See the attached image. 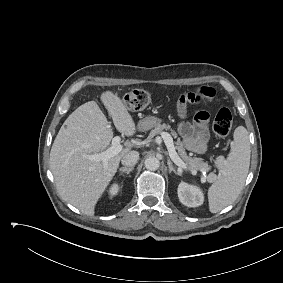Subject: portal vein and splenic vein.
<instances>
[{
	"label": "portal vein and splenic vein",
	"instance_id": "1",
	"mask_svg": "<svg viewBox=\"0 0 283 283\" xmlns=\"http://www.w3.org/2000/svg\"><path fill=\"white\" fill-rule=\"evenodd\" d=\"M162 138L164 140V143L168 149L169 156L171 160L180 168H187L186 163L182 161V159L178 156L173 139L170 134L163 132L162 133ZM121 138L119 136H116L112 139V146L109 147L107 150L104 152L98 153V154H91L88 155L87 158L91 161H102L104 164L107 163V161L114 157L115 155L119 154V152L122 150V146L120 144Z\"/></svg>",
	"mask_w": 283,
	"mask_h": 283
}]
</instances>
